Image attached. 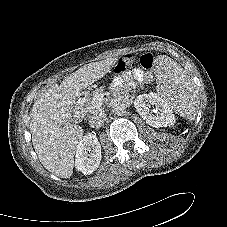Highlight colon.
<instances>
[{
    "label": "colon",
    "mask_w": 227,
    "mask_h": 227,
    "mask_svg": "<svg viewBox=\"0 0 227 227\" xmlns=\"http://www.w3.org/2000/svg\"><path fill=\"white\" fill-rule=\"evenodd\" d=\"M155 59L151 54H144L140 58V65L147 71H152L154 68ZM134 65L133 57L128 56L125 58H121L117 61L115 65V72L117 74L125 72L128 68Z\"/></svg>",
    "instance_id": "obj_1"
}]
</instances>
